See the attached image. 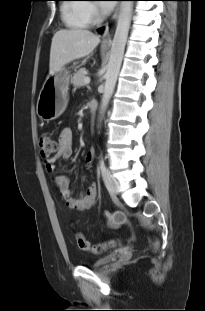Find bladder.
Instances as JSON below:
<instances>
[{
    "instance_id": "bladder-1",
    "label": "bladder",
    "mask_w": 205,
    "mask_h": 311,
    "mask_svg": "<svg viewBox=\"0 0 205 311\" xmlns=\"http://www.w3.org/2000/svg\"><path fill=\"white\" fill-rule=\"evenodd\" d=\"M114 258H115L114 254H109V255H106L102 258H99L91 264V268L100 269V268L104 267L105 265L109 264L111 261H113Z\"/></svg>"
}]
</instances>
